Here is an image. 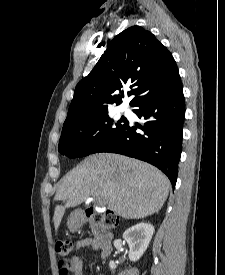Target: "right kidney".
I'll use <instances>...</instances> for the list:
<instances>
[{
    "instance_id": "1",
    "label": "right kidney",
    "mask_w": 225,
    "mask_h": 275,
    "mask_svg": "<svg viewBox=\"0 0 225 275\" xmlns=\"http://www.w3.org/2000/svg\"><path fill=\"white\" fill-rule=\"evenodd\" d=\"M154 233V227L149 223L141 222L128 228L124 234L123 238L129 245V259L130 261H137L146 251L149 242ZM109 267L111 269L116 268L113 261H110Z\"/></svg>"
}]
</instances>
